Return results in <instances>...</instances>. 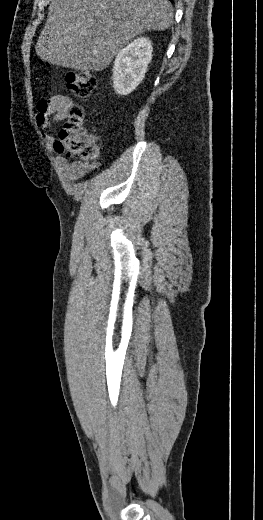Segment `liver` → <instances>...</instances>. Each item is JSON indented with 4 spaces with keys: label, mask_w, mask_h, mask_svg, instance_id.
<instances>
[{
    "label": "liver",
    "mask_w": 263,
    "mask_h": 520,
    "mask_svg": "<svg viewBox=\"0 0 263 520\" xmlns=\"http://www.w3.org/2000/svg\"><path fill=\"white\" fill-rule=\"evenodd\" d=\"M172 21L168 0H51L36 53L53 65L101 71L132 38Z\"/></svg>",
    "instance_id": "6515ba94"
}]
</instances>
